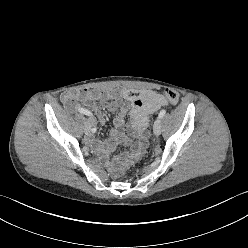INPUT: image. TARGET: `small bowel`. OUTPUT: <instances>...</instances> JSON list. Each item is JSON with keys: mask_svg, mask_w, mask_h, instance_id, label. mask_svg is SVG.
Returning <instances> with one entry per match:
<instances>
[{"mask_svg": "<svg viewBox=\"0 0 248 248\" xmlns=\"http://www.w3.org/2000/svg\"><path fill=\"white\" fill-rule=\"evenodd\" d=\"M119 98H123L125 103L121 105ZM61 100L71 111L81 108L77 106V101L91 103L95 100H101L105 102V107L115 114L113 117L114 128L105 142L95 141L92 134L87 135V142L95 146L102 153H107L121 142H129L124 134L126 115H129L131 119L132 136L144 140V130L148 125L149 116L167 105V101L157 91L150 89H120L117 91L79 89L64 92L61 95ZM96 114L99 121L104 123L106 119L103 113L99 109H96ZM142 146L143 143L141 141L133 144L131 153L119 159L117 163L125 164L136 158Z\"/></svg>", "mask_w": 248, "mask_h": 248, "instance_id": "obj_1", "label": "small bowel"}]
</instances>
